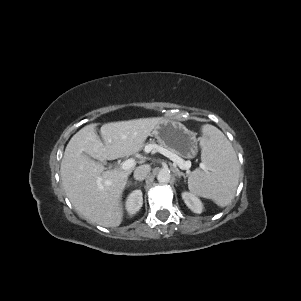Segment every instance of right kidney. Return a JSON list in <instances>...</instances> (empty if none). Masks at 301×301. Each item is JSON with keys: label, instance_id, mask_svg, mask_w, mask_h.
Here are the masks:
<instances>
[{"label": "right kidney", "instance_id": "right-kidney-1", "mask_svg": "<svg viewBox=\"0 0 301 301\" xmlns=\"http://www.w3.org/2000/svg\"><path fill=\"white\" fill-rule=\"evenodd\" d=\"M142 204H143L142 191L134 190L129 194L125 203V207L127 212L130 215H133L141 209Z\"/></svg>", "mask_w": 301, "mask_h": 301}]
</instances>
